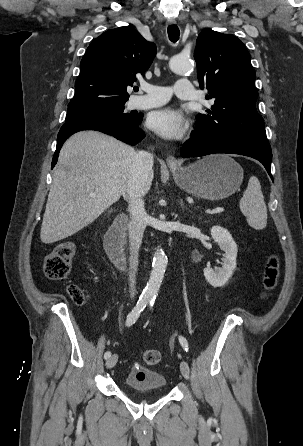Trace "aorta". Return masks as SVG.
Returning <instances> with one entry per match:
<instances>
[{
    "instance_id": "aorta-1",
    "label": "aorta",
    "mask_w": 303,
    "mask_h": 446,
    "mask_svg": "<svg viewBox=\"0 0 303 446\" xmlns=\"http://www.w3.org/2000/svg\"><path fill=\"white\" fill-rule=\"evenodd\" d=\"M169 65L171 70L176 74H185L193 69V64L190 60L179 56L173 57L170 60ZM167 263L168 259L164 251L157 248L153 257L152 271L142 293L144 300L153 301L156 299L166 271Z\"/></svg>"
}]
</instances>
